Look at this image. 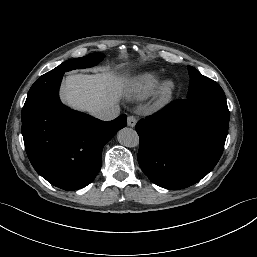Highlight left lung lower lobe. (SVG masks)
I'll use <instances>...</instances> for the list:
<instances>
[{
	"mask_svg": "<svg viewBox=\"0 0 257 257\" xmlns=\"http://www.w3.org/2000/svg\"><path fill=\"white\" fill-rule=\"evenodd\" d=\"M228 125L226 98L176 100L137 123L139 165L158 186H191L217 164Z\"/></svg>",
	"mask_w": 257,
	"mask_h": 257,
	"instance_id": "1",
	"label": "left lung lower lobe"
}]
</instances>
